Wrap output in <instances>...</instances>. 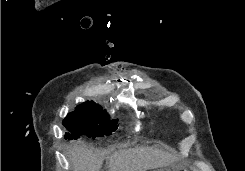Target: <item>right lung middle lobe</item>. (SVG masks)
<instances>
[{"label":"right lung middle lobe","instance_id":"dd1d6c3e","mask_svg":"<svg viewBox=\"0 0 245 171\" xmlns=\"http://www.w3.org/2000/svg\"><path fill=\"white\" fill-rule=\"evenodd\" d=\"M117 120H110L106 111L93 101H87L68 114L63 125L68 130L67 139H78L81 135L96 138L109 135L117 129Z\"/></svg>","mask_w":245,"mask_h":171}]
</instances>
